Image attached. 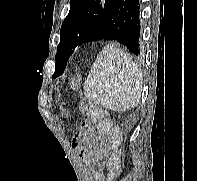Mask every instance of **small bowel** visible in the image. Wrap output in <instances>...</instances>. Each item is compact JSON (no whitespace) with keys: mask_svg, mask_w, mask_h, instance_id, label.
<instances>
[{"mask_svg":"<svg viewBox=\"0 0 197 181\" xmlns=\"http://www.w3.org/2000/svg\"><path fill=\"white\" fill-rule=\"evenodd\" d=\"M96 136H102V134L90 123H86L74 140L75 147L83 153L84 160L89 164V170L92 172L94 178L99 180V169L102 165L98 159L100 148L92 142Z\"/></svg>","mask_w":197,"mask_h":181,"instance_id":"obj_1","label":"small bowel"}]
</instances>
